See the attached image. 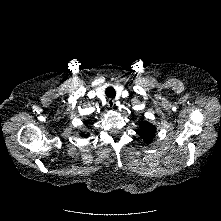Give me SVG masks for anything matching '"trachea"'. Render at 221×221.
<instances>
[{"label":"trachea","instance_id":"trachea-1","mask_svg":"<svg viewBox=\"0 0 221 221\" xmlns=\"http://www.w3.org/2000/svg\"><path fill=\"white\" fill-rule=\"evenodd\" d=\"M105 93L108 98H114L116 95V91L113 87H108L106 89Z\"/></svg>","mask_w":221,"mask_h":221}]
</instances>
